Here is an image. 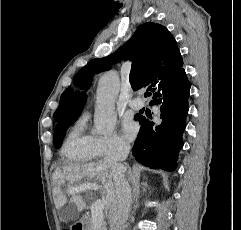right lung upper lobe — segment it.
Here are the masks:
<instances>
[{
    "instance_id": "right-lung-upper-lobe-1",
    "label": "right lung upper lobe",
    "mask_w": 241,
    "mask_h": 230,
    "mask_svg": "<svg viewBox=\"0 0 241 230\" xmlns=\"http://www.w3.org/2000/svg\"><path fill=\"white\" fill-rule=\"evenodd\" d=\"M132 60L130 83L134 91L149 86L153 90L167 75L183 65V59L172 34L158 23L140 25L131 39L113 54L91 60L74 77V84L80 86L94 72L105 71L121 60ZM73 88H67L61 96L60 105L54 113L59 121L65 115Z\"/></svg>"
}]
</instances>
